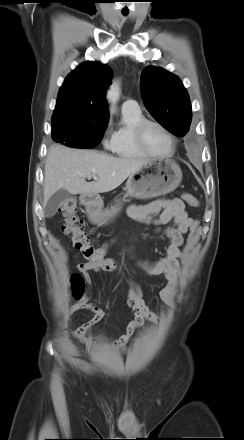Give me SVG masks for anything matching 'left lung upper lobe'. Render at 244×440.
Here are the masks:
<instances>
[{"mask_svg":"<svg viewBox=\"0 0 244 440\" xmlns=\"http://www.w3.org/2000/svg\"><path fill=\"white\" fill-rule=\"evenodd\" d=\"M140 88L145 107L168 131L176 136L189 131L191 104L177 76L162 68L148 66L141 73Z\"/></svg>","mask_w":244,"mask_h":440,"instance_id":"5c2ea615","label":"left lung upper lobe"}]
</instances>
